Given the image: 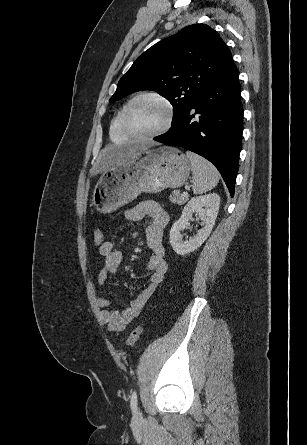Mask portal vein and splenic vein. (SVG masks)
I'll return each instance as SVG.
<instances>
[{"label":"portal vein and splenic vein","instance_id":"portal-vein-and-splenic-vein-1","mask_svg":"<svg viewBox=\"0 0 307 445\" xmlns=\"http://www.w3.org/2000/svg\"><path fill=\"white\" fill-rule=\"evenodd\" d=\"M186 190H190V186H185ZM183 196H188V192H183Z\"/></svg>","mask_w":307,"mask_h":445}]
</instances>
